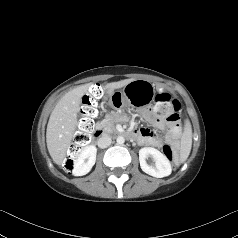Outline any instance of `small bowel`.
Segmentation results:
<instances>
[{
  "mask_svg": "<svg viewBox=\"0 0 238 238\" xmlns=\"http://www.w3.org/2000/svg\"><path fill=\"white\" fill-rule=\"evenodd\" d=\"M143 117L151 122L154 127L159 130L167 128L164 138L156 136L153 132L147 129H141L136 132L137 140L145 145L153 147H162L163 145H170L172 147H178L185 144L186 138L182 133L181 127L178 122L165 123L161 120H155L151 114L147 111L143 112Z\"/></svg>",
  "mask_w": 238,
  "mask_h": 238,
  "instance_id": "c3829d8e",
  "label": "small bowel"
}]
</instances>
